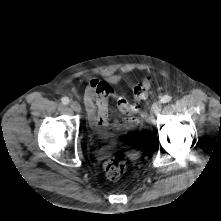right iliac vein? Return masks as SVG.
<instances>
[{
	"label": "right iliac vein",
	"mask_w": 221,
	"mask_h": 221,
	"mask_svg": "<svg viewBox=\"0 0 221 221\" xmlns=\"http://www.w3.org/2000/svg\"><path fill=\"white\" fill-rule=\"evenodd\" d=\"M70 107L75 111V112H80L81 111V106L78 102L73 101L70 103Z\"/></svg>",
	"instance_id": "obj_1"
}]
</instances>
